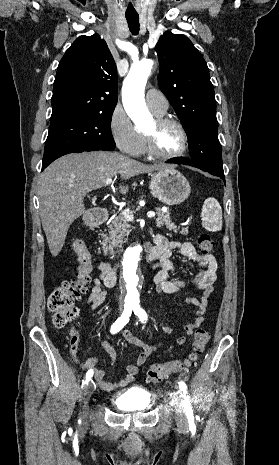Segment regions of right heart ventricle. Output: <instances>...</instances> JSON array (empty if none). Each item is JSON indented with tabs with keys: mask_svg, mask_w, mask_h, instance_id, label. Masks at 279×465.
<instances>
[{
	"mask_svg": "<svg viewBox=\"0 0 279 465\" xmlns=\"http://www.w3.org/2000/svg\"><path fill=\"white\" fill-rule=\"evenodd\" d=\"M154 112V111H153ZM157 116H162L163 114L154 112ZM146 151V145H145V139L143 134H138V144L135 152L133 153L134 155H143L145 154Z\"/></svg>",
	"mask_w": 279,
	"mask_h": 465,
	"instance_id": "obj_1",
	"label": "right heart ventricle"
}]
</instances>
